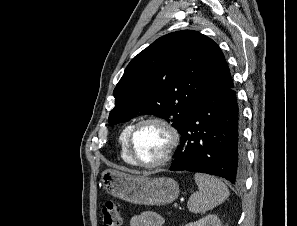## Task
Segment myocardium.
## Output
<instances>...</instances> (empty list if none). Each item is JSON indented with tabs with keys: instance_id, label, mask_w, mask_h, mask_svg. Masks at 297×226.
I'll use <instances>...</instances> for the list:
<instances>
[{
	"instance_id": "myocardium-1",
	"label": "myocardium",
	"mask_w": 297,
	"mask_h": 226,
	"mask_svg": "<svg viewBox=\"0 0 297 226\" xmlns=\"http://www.w3.org/2000/svg\"><path fill=\"white\" fill-rule=\"evenodd\" d=\"M145 124H156L162 127L169 135V142L162 157L158 160L146 163L137 158L133 150V139L139 127ZM180 144V133L178 129L167 119L159 116H150L142 118L134 123L128 133L126 140L127 152L133 163L146 169H154L166 165L173 157Z\"/></svg>"
}]
</instances>
